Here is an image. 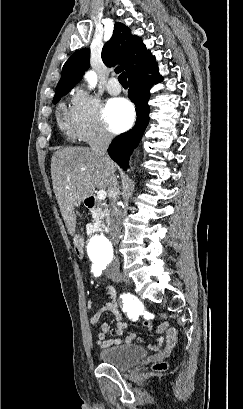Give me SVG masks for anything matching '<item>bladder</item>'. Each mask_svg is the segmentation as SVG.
<instances>
[{"instance_id":"31cf9c89","label":"bladder","mask_w":243,"mask_h":409,"mask_svg":"<svg viewBox=\"0 0 243 409\" xmlns=\"http://www.w3.org/2000/svg\"><path fill=\"white\" fill-rule=\"evenodd\" d=\"M147 356V351L134 344H123L104 348L99 352L100 360L118 370H127Z\"/></svg>"}]
</instances>
